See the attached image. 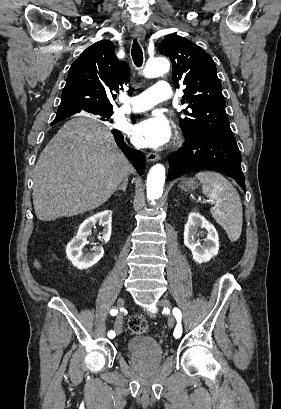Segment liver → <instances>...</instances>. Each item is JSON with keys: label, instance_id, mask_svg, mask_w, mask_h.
<instances>
[{"label": "liver", "instance_id": "obj_1", "mask_svg": "<svg viewBox=\"0 0 281 409\" xmlns=\"http://www.w3.org/2000/svg\"><path fill=\"white\" fill-rule=\"evenodd\" d=\"M133 170L107 126L89 116L71 118L34 168L36 217L53 221L97 209Z\"/></svg>", "mask_w": 281, "mask_h": 409}]
</instances>
